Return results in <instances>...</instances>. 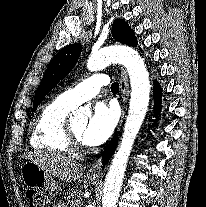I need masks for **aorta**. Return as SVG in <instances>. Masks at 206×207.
<instances>
[{
    "label": "aorta",
    "instance_id": "762f6f07",
    "mask_svg": "<svg viewBox=\"0 0 206 207\" xmlns=\"http://www.w3.org/2000/svg\"><path fill=\"white\" fill-rule=\"evenodd\" d=\"M113 62L126 67L131 83V98L121 143L105 179L102 207H116L126 164L145 118L150 99L147 69L141 56L132 48L125 46L103 48L90 55L87 68L90 71H99ZM82 113L83 110L79 109L74 116H81Z\"/></svg>",
    "mask_w": 206,
    "mask_h": 207
}]
</instances>
